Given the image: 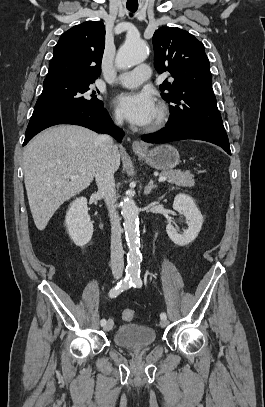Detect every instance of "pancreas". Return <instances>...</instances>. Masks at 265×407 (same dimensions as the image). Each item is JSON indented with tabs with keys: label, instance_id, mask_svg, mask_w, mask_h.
<instances>
[{
	"label": "pancreas",
	"instance_id": "cf45deb5",
	"mask_svg": "<svg viewBox=\"0 0 265 407\" xmlns=\"http://www.w3.org/2000/svg\"><path fill=\"white\" fill-rule=\"evenodd\" d=\"M162 176L168 178V182L181 187H193L195 185L194 175L190 172H180V171H164L161 173Z\"/></svg>",
	"mask_w": 265,
	"mask_h": 407
}]
</instances>
